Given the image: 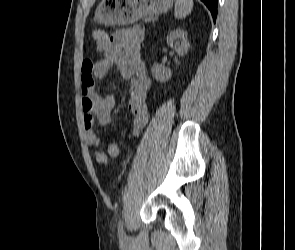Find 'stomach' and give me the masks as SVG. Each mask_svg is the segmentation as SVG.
Returning <instances> with one entry per match:
<instances>
[{"mask_svg":"<svg viewBox=\"0 0 295 250\" xmlns=\"http://www.w3.org/2000/svg\"><path fill=\"white\" fill-rule=\"evenodd\" d=\"M173 0H102L95 10V20L103 25H124L144 16L167 12Z\"/></svg>","mask_w":295,"mask_h":250,"instance_id":"0dacf381","label":"stomach"}]
</instances>
